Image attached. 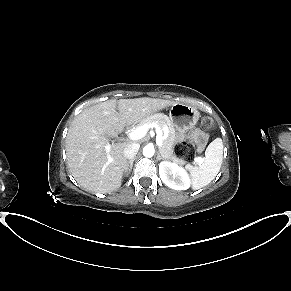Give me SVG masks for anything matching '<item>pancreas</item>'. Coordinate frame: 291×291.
<instances>
[{
    "mask_svg": "<svg viewBox=\"0 0 291 291\" xmlns=\"http://www.w3.org/2000/svg\"><path fill=\"white\" fill-rule=\"evenodd\" d=\"M155 123L157 124L161 129L166 125L168 127V137L163 140L162 146H160V152L162 153L163 157L167 160H171L174 163H177L179 165L186 164V161L177 158L173 154V144L175 142V129L173 124L171 123L170 119L167 116L161 115V114H153L149 117L143 119L141 122L137 123L134 127L137 129L138 127L144 125V124H150Z\"/></svg>",
    "mask_w": 291,
    "mask_h": 291,
    "instance_id": "1",
    "label": "pancreas"
}]
</instances>
